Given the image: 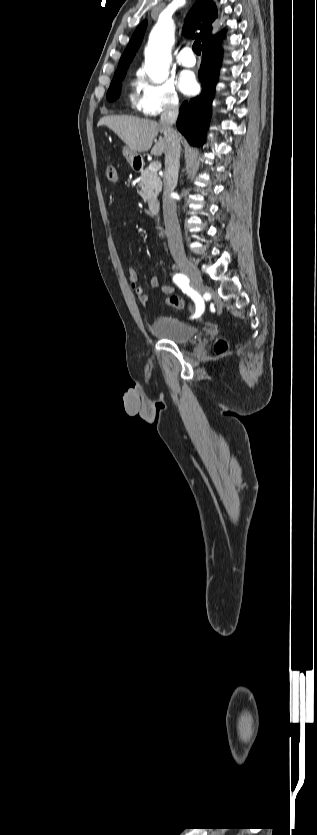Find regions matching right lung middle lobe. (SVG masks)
Returning a JSON list of instances; mask_svg holds the SVG:
<instances>
[{"mask_svg":"<svg viewBox=\"0 0 317 835\" xmlns=\"http://www.w3.org/2000/svg\"><path fill=\"white\" fill-rule=\"evenodd\" d=\"M126 71H127V67L116 70V72L114 74V78H113V80L111 82V85L109 87V90L107 92V99L109 101H114L119 97L120 91H121L122 80L124 79V77L126 75Z\"/></svg>","mask_w":317,"mask_h":835,"instance_id":"obj_1","label":"right lung middle lobe"}]
</instances>
